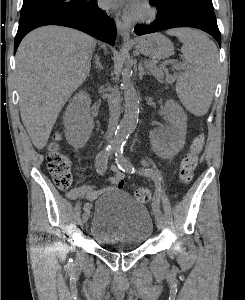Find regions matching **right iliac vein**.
Returning <instances> with one entry per match:
<instances>
[{
  "mask_svg": "<svg viewBox=\"0 0 245 300\" xmlns=\"http://www.w3.org/2000/svg\"><path fill=\"white\" fill-rule=\"evenodd\" d=\"M90 209H91V208L85 210V212L83 213V215H82V221H83V223H86L87 220L89 219V217H90V212H91Z\"/></svg>",
  "mask_w": 245,
  "mask_h": 300,
  "instance_id": "right-iliac-vein-1",
  "label": "right iliac vein"
}]
</instances>
